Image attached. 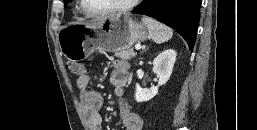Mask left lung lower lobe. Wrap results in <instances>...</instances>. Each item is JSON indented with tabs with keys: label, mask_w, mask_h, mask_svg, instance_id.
Wrapping results in <instances>:
<instances>
[{
	"label": "left lung lower lobe",
	"mask_w": 257,
	"mask_h": 130,
	"mask_svg": "<svg viewBox=\"0 0 257 130\" xmlns=\"http://www.w3.org/2000/svg\"><path fill=\"white\" fill-rule=\"evenodd\" d=\"M202 0H144L133 11L153 17L175 29L193 48Z\"/></svg>",
	"instance_id": "left-lung-lower-lobe-1"
}]
</instances>
